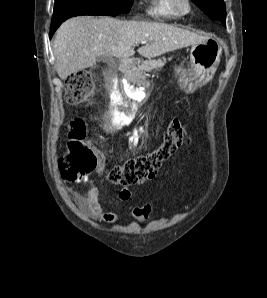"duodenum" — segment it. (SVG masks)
<instances>
[{
	"mask_svg": "<svg viewBox=\"0 0 267 298\" xmlns=\"http://www.w3.org/2000/svg\"><path fill=\"white\" fill-rule=\"evenodd\" d=\"M134 61L132 59H124L121 61L120 69L122 71H118V76H127V71L132 65ZM117 96L120 99H125L126 95L123 87H118L116 90ZM136 103H140V98H129V100H118V105H136ZM121 115H126V110H121Z\"/></svg>",
	"mask_w": 267,
	"mask_h": 298,
	"instance_id": "1",
	"label": "duodenum"
}]
</instances>
